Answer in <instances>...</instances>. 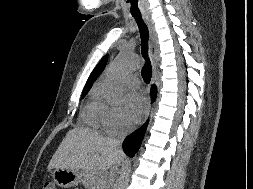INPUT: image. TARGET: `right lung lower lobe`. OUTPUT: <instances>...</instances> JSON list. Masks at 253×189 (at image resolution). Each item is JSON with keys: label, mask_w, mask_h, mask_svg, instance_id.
<instances>
[{"label": "right lung lower lobe", "mask_w": 253, "mask_h": 189, "mask_svg": "<svg viewBox=\"0 0 253 189\" xmlns=\"http://www.w3.org/2000/svg\"><path fill=\"white\" fill-rule=\"evenodd\" d=\"M156 87L153 86L151 94L153 99L156 97ZM146 127H147V123L143 125V127L139 130H137L136 132H134L133 134H131L129 137L125 138L124 142H123V149L124 152L130 156L133 157L136 153V151H138L142 138L144 136V133L146 131Z\"/></svg>", "instance_id": "right-lung-lower-lobe-1"}]
</instances>
